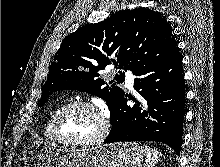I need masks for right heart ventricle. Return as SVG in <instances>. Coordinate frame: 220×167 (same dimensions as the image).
Masks as SVG:
<instances>
[{"instance_id": "1", "label": "right heart ventricle", "mask_w": 220, "mask_h": 167, "mask_svg": "<svg viewBox=\"0 0 220 167\" xmlns=\"http://www.w3.org/2000/svg\"><path fill=\"white\" fill-rule=\"evenodd\" d=\"M57 109H58V107L55 108V109L51 112V114L49 115L48 119L46 120V123H45V126H44V130H43L44 136H45L48 140H50V141H52V142H56V140H55V138H54V136H53V133H52V130H51V122H52V117H53V115H54V113H55V111H56Z\"/></svg>"}]
</instances>
